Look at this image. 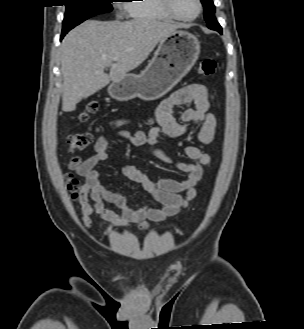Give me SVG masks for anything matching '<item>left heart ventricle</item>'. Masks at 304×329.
<instances>
[{"instance_id":"obj_1","label":"left heart ventricle","mask_w":304,"mask_h":329,"mask_svg":"<svg viewBox=\"0 0 304 329\" xmlns=\"http://www.w3.org/2000/svg\"><path fill=\"white\" fill-rule=\"evenodd\" d=\"M172 6L176 13L184 17H192L198 11L196 0H172Z\"/></svg>"}]
</instances>
